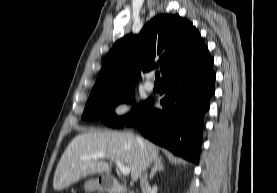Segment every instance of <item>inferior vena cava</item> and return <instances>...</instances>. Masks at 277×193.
<instances>
[{
    "instance_id": "inferior-vena-cava-1",
    "label": "inferior vena cava",
    "mask_w": 277,
    "mask_h": 193,
    "mask_svg": "<svg viewBox=\"0 0 277 193\" xmlns=\"http://www.w3.org/2000/svg\"><path fill=\"white\" fill-rule=\"evenodd\" d=\"M140 186H141V190L142 193H149L150 192V186L149 183L147 181V174H142L140 176Z\"/></svg>"
}]
</instances>
